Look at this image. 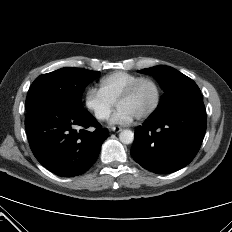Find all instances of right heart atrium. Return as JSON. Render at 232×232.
<instances>
[{
    "label": "right heart atrium",
    "mask_w": 232,
    "mask_h": 232,
    "mask_svg": "<svg viewBox=\"0 0 232 232\" xmlns=\"http://www.w3.org/2000/svg\"><path fill=\"white\" fill-rule=\"evenodd\" d=\"M84 106L97 121L102 122L111 115L114 103L110 102L99 89L90 87L84 94Z\"/></svg>",
    "instance_id": "d8ad5b80"
}]
</instances>
